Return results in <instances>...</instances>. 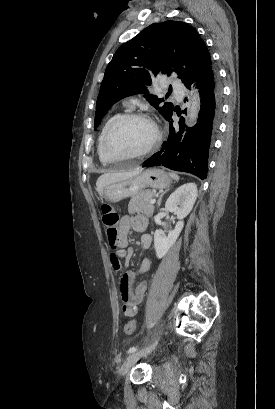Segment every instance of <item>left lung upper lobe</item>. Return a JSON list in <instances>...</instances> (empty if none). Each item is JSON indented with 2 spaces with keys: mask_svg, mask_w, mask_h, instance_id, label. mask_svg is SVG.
<instances>
[{
  "mask_svg": "<svg viewBox=\"0 0 275 409\" xmlns=\"http://www.w3.org/2000/svg\"><path fill=\"white\" fill-rule=\"evenodd\" d=\"M210 65L206 44L191 26L181 21L151 24L121 45L108 64L96 103L94 128L114 103L138 93H145L150 104L167 118L173 104H163V98L148 93L151 73H175L187 85Z\"/></svg>",
  "mask_w": 275,
  "mask_h": 409,
  "instance_id": "1",
  "label": "left lung upper lobe"
}]
</instances>
